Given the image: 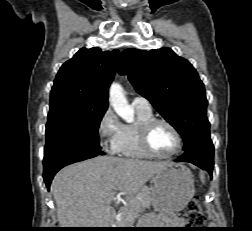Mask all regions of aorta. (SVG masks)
Instances as JSON below:
<instances>
[{"mask_svg": "<svg viewBox=\"0 0 252 231\" xmlns=\"http://www.w3.org/2000/svg\"><path fill=\"white\" fill-rule=\"evenodd\" d=\"M109 102L123 120L133 122L134 110L129 106L123 88L118 83H113L109 89Z\"/></svg>", "mask_w": 252, "mask_h": 231, "instance_id": "obj_1", "label": "aorta"}]
</instances>
